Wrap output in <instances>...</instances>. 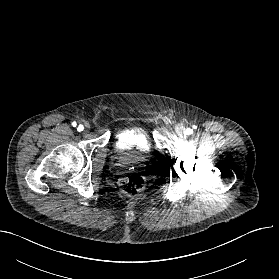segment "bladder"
Listing matches in <instances>:
<instances>
[{
    "label": "bladder",
    "instance_id": "obj_1",
    "mask_svg": "<svg viewBox=\"0 0 279 279\" xmlns=\"http://www.w3.org/2000/svg\"><path fill=\"white\" fill-rule=\"evenodd\" d=\"M115 146L123 164H139L154 152L151 137L142 128H131L119 132Z\"/></svg>",
    "mask_w": 279,
    "mask_h": 279
}]
</instances>
